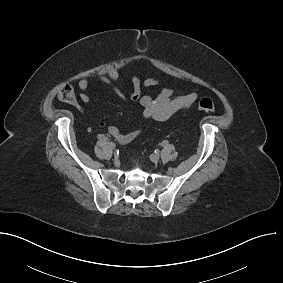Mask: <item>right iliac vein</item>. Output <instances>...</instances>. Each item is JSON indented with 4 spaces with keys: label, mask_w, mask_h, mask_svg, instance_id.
I'll list each match as a JSON object with an SVG mask.
<instances>
[{
    "label": "right iliac vein",
    "mask_w": 283,
    "mask_h": 283,
    "mask_svg": "<svg viewBox=\"0 0 283 283\" xmlns=\"http://www.w3.org/2000/svg\"><path fill=\"white\" fill-rule=\"evenodd\" d=\"M109 147H110L111 149H115V144L112 143V142H110V143H109Z\"/></svg>",
    "instance_id": "1"
}]
</instances>
